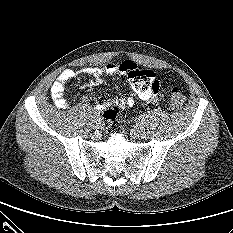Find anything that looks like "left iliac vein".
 <instances>
[{
	"label": "left iliac vein",
	"mask_w": 233,
	"mask_h": 233,
	"mask_svg": "<svg viewBox=\"0 0 233 233\" xmlns=\"http://www.w3.org/2000/svg\"><path fill=\"white\" fill-rule=\"evenodd\" d=\"M135 134L138 137H144L146 135V130H145V128L142 125H137L135 127Z\"/></svg>",
	"instance_id": "obj_1"
}]
</instances>
